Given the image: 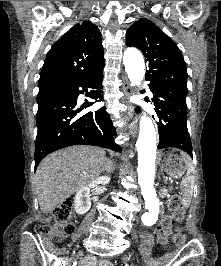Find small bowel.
I'll use <instances>...</instances> for the list:
<instances>
[{"instance_id":"obj_1","label":"small bowel","mask_w":221,"mask_h":266,"mask_svg":"<svg viewBox=\"0 0 221 266\" xmlns=\"http://www.w3.org/2000/svg\"><path fill=\"white\" fill-rule=\"evenodd\" d=\"M86 266H114L107 260L96 261L95 259H89Z\"/></svg>"}]
</instances>
